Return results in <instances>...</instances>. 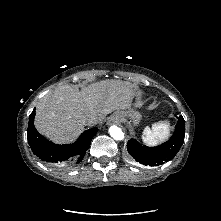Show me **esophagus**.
<instances>
[{
	"mask_svg": "<svg viewBox=\"0 0 221 221\" xmlns=\"http://www.w3.org/2000/svg\"><path fill=\"white\" fill-rule=\"evenodd\" d=\"M120 122V118L118 116H112L110 119H109V123H119Z\"/></svg>",
	"mask_w": 221,
	"mask_h": 221,
	"instance_id": "esophagus-1",
	"label": "esophagus"
}]
</instances>
